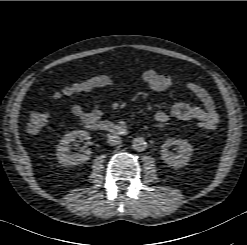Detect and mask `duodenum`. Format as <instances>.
I'll use <instances>...</instances> for the list:
<instances>
[{
  "instance_id": "410a0bca",
  "label": "duodenum",
  "mask_w": 247,
  "mask_h": 245,
  "mask_svg": "<svg viewBox=\"0 0 247 245\" xmlns=\"http://www.w3.org/2000/svg\"><path fill=\"white\" fill-rule=\"evenodd\" d=\"M87 127L96 131L108 132L115 136H124L127 133V129L123 124H115L112 122H91L87 124Z\"/></svg>"
}]
</instances>
